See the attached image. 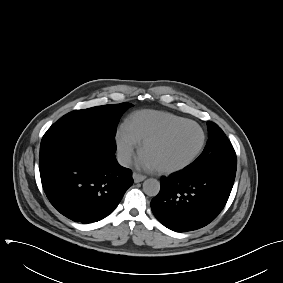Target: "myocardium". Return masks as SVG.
<instances>
[{
	"label": "myocardium",
	"instance_id": "obj_1",
	"mask_svg": "<svg viewBox=\"0 0 283 283\" xmlns=\"http://www.w3.org/2000/svg\"><path fill=\"white\" fill-rule=\"evenodd\" d=\"M193 125L195 126L201 134V141L199 146L197 147V149L195 150V152L184 162L172 166V167H165V168H158L155 167V171L158 172L159 174L162 175H171V174H175L178 172H181L183 170H185L186 168L190 167L198 158L199 156L202 154L205 145H206V141H207V136L206 133L204 131V129L201 127V125H199L197 122L193 121V120H189V119H185L182 120L180 122L174 123L168 127H166L165 129H163L162 131L145 138L140 145V151L141 153H143L145 147L148 144L154 143V142H158L163 140L164 138H166L171 132H173L175 129H177L178 127L182 126V125Z\"/></svg>",
	"mask_w": 283,
	"mask_h": 283
}]
</instances>
